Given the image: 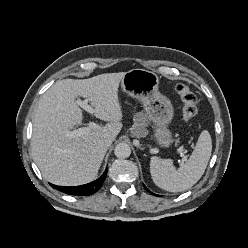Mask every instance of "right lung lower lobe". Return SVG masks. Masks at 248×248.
<instances>
[{
    "label": "right lung lower lobe",
    "mask_w": 248,
    "mask_h": 248,
    "mask_svg": "<svg viewBox=\"0 0 248 248\" xmlns=\"http://www.w3.org/2000/svg\"><path fill=\"white\" fill-rule=\"evenodd\" d=\"M106 174H107V169L102 174V176L100 178H98L97 180L90 182L88 184H85V185H80V186L61 187V186H56L53 184H50V185L53 188H56L59 191L64 192V193L69 194V195L89 196V195L97 192L101 188V186H102V184L106 178Z\"/></svg>",
    "instance_id": "obj_1"
}]
</instances>
